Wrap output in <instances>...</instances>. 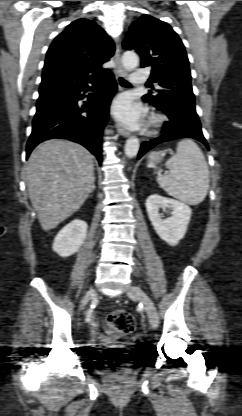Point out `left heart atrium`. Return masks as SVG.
<instances>
[{"label": "left heart atrium", "mask_w": 242, "mask_h": 416, "mask_svg": "<svg viewBox=\"0 0 242 416\" xmlns=\"http://www.w3.org/2000/svg\"><path fill=\"white\" fill-rule=\"evenodd\" d=\"M114 115L129 127H138L144 116V109L140 104L132 103L127 96L119 97L113 105Z\"/></svg>", "instance_id": "left-heart-atrium-1"}]
</instances>
